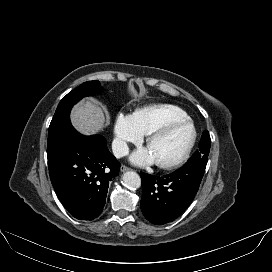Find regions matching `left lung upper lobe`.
Here are the masks:
<instances>
[{
    "label": "left lung upper lobe",
    "mask_w": 272,
    "mask_h": 272,
    "mask_svg": "<svg viewBox=\"0 0 272 272\" xmlns=\"http://www.w3.org/2000/svg\"><path fill=\"white\" fill-rule=\"evenodd\" d=\"M210 135L209 132L206 130L203 132L201 136V140L199 142V150H197L193 156L189 159V161L186 164H192V163H207L208 161V155L210 151Z\"/></svg>",
    "instance_id": "left-lung-upper-lobe-1"
}]
</instances>
